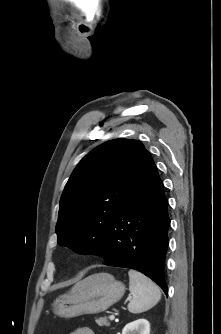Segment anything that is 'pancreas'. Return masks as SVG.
I'll use <instances>...</instances> for the list:
<instances>
[{"mask_svg":"<svg viewBox=\"0 0 221 334\" xmlns=\"http://www.w3.org/2000/svg\"><path fill=\"white\" fill-rule=\"evenodd\" d=\"M95 322L99 325V326H110V322L107 320L106 317H100V318H96Z\"/></svg>","mask_w":221,"mask_h":334,"instance_id":"1","label":"pancreas"}]
</instances>
